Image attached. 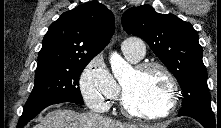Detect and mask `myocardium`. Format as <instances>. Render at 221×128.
I'll return each mask as SVG.
<instances>
[{
  "label": "myocardium",
  "instance_id": "myocardium-1",
  "mask_svg": "<svg viewBox=\"0 0 221 128\" xmlns=\"http://www.w3.org/2000/svg\"><path fill=\"white\" fill-rule=\"evenodd\" d=\"M135 71L143 73L148 70H158L162 73L169 86V95L165 108L157 112H136L126 102L125 89L121 87L120 107L124 115L136 120H159L168 117L175 109L178 98V85L171 70L158 62H143L135 66Z\"/></svg>",
  "mask_w": 221,
  "mask_h": 128
}]
</instances>
